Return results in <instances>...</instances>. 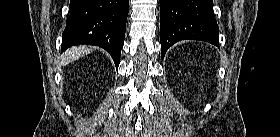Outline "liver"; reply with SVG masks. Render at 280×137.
Here are the masks:
<instances>
[{"label": "liver", "instance_id": "6515ba94", "mask_svg": "<svg viewBox=\"0 0 280 137\" xmlns=\"http://www.w3.org/2000/svg\"><path fill=\"white\" fill-rule=\"evenodd\" d=\"M92 51V48L86 46H76L66 51L65 55L62 58V64L66 65L70 62L77 60L85 54H88Z\"/></svg>", "mask_w": 280, "mask_h": 137}]
</instances>
